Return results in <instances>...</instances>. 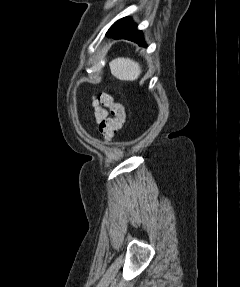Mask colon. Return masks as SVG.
I'll return each mask as SVG.
<instances>
[{
	"instance_id": "obj_1",
	"label": "colon",
	"mask_w": 240,
	"mask_h": 287,
	"mask_svg": "<svg viewBox=\"0 0 240 287\" xmlns=\"http://www.w3.org/2000/svg\"><path fill=\"white\" fill-rule=\"evenodd\" d=\"M98 101L102 106L108 108L111 114V117L99 126L101 135L109 142L124 124L125 107L122 103L117 102L109 92H101L98 95Z\"/></svg>"
}]
</instances>
